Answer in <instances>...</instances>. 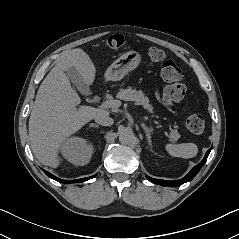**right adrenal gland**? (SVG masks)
Listing matches in <instances>:
<instances>
[{
    "instance_id": "1",
    "label": "right adrenal gland",
    "mask_w": 239,
    "mask_h": 239,
    "mask_svg": "<svg viewBox=\"0 0 239 239\" xmlns=\"http://www.w3.org/2000/svg\"><path fill=\"white\" fill-rule=\"evenodd\" d=\"M89 127L99 128V125H97V124H95V123H91V124L89 125Z\"/></svg>"
}]
</instances>
